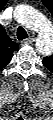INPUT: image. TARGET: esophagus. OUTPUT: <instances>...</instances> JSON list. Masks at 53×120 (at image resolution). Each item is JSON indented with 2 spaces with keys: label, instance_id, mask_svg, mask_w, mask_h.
I'll list each match as a JSON object with an SVG mask.
<instances>
[{
  "label": "esophagus",
  "instance_id": "obj_1",
  "mask_svg": "<svg viewBox=\"0 0 53 120\" xmlns=\"http://www.w3.org/2000/svg\"><path fill=\"white\" fill-rule=\"evenodd\" d=\"M34 41H35V37L32 36V37H30V38H28V39H26V40H23L21 43H22V44H31V43L34 42Z\"/></svg>",
  "mask_w": 53,
  "mask_h": 120
}]
</instances>
